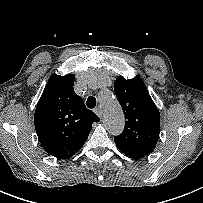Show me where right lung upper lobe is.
<instances>
[{"label": "right lung upper lobe", "instance_id": "obj_1", "mask_svg": "<svg viewBox=\"0 0 203 203\" xmlns=\"http://www.w3.org/2000/svg\"><path fill=\"white\" fill-rule=\"evenodd\" d=\"M74 80L73 74H53L34 114L43 149L59 159H68L78 151L88 138L92 123L100 120L74 92Z\"/></svg>", "mask_w": 203, "mask_h": 203}]
</instances>
